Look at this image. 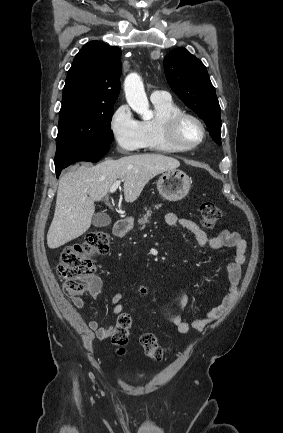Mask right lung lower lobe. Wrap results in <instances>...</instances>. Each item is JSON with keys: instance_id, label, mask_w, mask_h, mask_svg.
Here are the masks:
<instances>
[{"instance_id": "1", "label": "right lung lower lobe", "mask_w": 283, "mask_h": 433, "mask_svg": "<svg viewBox=\"0 0 283 433\" xmlns=\"http://www.w3.org/2000/svg\"><path fill=\"white\" fill-rule=\"evenodd\" d=\"M109 148L95 149L77 145L58 146L55 155L57 178L62 169L77 161H89L93 163L99 161L108 152Z\"/></svg>"}]
</instances>
